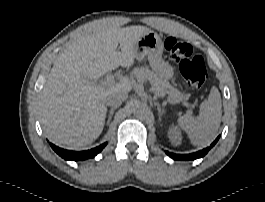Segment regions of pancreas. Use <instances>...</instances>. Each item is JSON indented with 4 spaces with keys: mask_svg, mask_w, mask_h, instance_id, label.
<instances>
[{
    "mask_svg": "<svg viewBox=\"0 0 265 202\" xmlns=\"http://www.w3.org/2000/svg\"><path fill=\"white\" fill-rule=\"evenodd\" d=\"M134 74L139 81H149L157 95L164 96L168 92L170 85L147 67L136 69Z\"/></svg>",
    "mask_w": 265,
    "mask_h": 202,
    "instance_id": "cf45deb5",
    "label": "pancreas"
}]
</instances>
